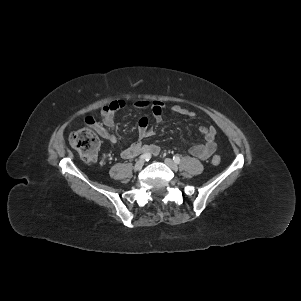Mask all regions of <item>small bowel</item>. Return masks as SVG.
I'll use <instances>...</instances> for the list:
<instances>
[{
  "label": "small bowel",
  "mask_w": 301,
  "mask_h": 301,
  "mask_svg": "<svg viewBox=\"0 0 301 301\" xmlns=\"http://www.w3.org/2000/svg\"><path fill=\"white\" fill-rule=\"evenodd\" d=\"M135 107L138 109L150 108L153 116V122L159 124L162 121V113L164 104L160 101H137ZM126 103L123 100H115L103 107L101 110V121L98 122L92 117H87L85 122L88 126L93 128L102 138L115 144L117 137L110 132V129L116 126V113L123 109ZM173 113L184 115L187 117H194L195 112L188 110L179 105H175L171 108ZM200 133L204 136L205 142L198 144L190 149V153L202 160L209 158L217 148L215 142L216 129L213 126H202L199 128ZM154 135L153 130L149 126V120L146 117H142L138 121V139L131 145L122 150L121 156L124 159H130L141 152H147L153 155H157L160 152L159 146L155 144H145L144 141L151 138Z\"/></svg>",
  "instance_id": "obj_1"
}]
</instances>
